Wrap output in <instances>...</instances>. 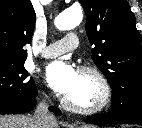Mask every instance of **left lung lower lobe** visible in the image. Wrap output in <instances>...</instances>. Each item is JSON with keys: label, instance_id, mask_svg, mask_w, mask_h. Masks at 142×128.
I'll return each instance as SVG.
<instances>
[{"label": "left lung lower lobe", "instance_id": "left-lung-lower-lobe-1", "mask_svg": "<svg viewBox=\"0 0 142 128\" xmlns=\"http://www.w3.org/2000/svg\"><path fill=\"white\" fill-rule=\"evenodd\" d=\"M90 124H138L142 125V106H136L125 111H108L106 115H95L85 121Z\"/></svg>", "mask_w": 142, "mask_h": 128}]
</instances>
